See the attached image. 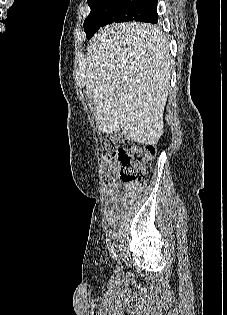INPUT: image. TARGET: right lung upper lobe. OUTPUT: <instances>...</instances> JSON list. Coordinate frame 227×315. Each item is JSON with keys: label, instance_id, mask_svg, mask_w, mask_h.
<instances>
[{"label": "right lung upper lobe", "instance_id": "1", "mask_svg": "<svg viewBox=\"0 0 227 315\" xmlns=\"http://www.w3.org/2000/svg\"><path fill=\"white\" fill-rule=\"evenodd\" d=\"M91 1H96V0H88V2H91Z\"/></svg>", "mask_w": 227, "mask_h": 315}]
</instances>
